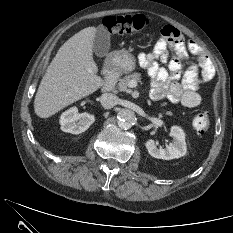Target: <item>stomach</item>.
I'll use <instances>...</instances> for the list:
<instances>
[{"label": "stomach", "mask_w": 233, "mask_h": 233, "mask_svg": "<svg viewBox=\"0 0 233 233\" xmlns=\"http://www.w3.org/2000/svg\"><path fill=\"white\" fill-rule=\"evenodd\" d=\"M115 65L122 71V72H130L135 69L136 62L132 54L127 50H120L117 51L115 54Z\"/></svg>", "instance_id": "0dacf381"}]
</instances>
